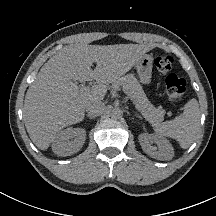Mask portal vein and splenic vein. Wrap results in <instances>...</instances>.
I'll use <instances>...</instances> for the list:
<instances>
[{"instance_id":"18ae733b","label":"portal vein and splenic vein","mask_w":216,"mask_h":216,"mask_svg":"<svg viewBox=\"0 0 216 216\" xmlns=\"http://www.w3.org/2000/svg\"><path fill=\"white\" fill-rule=\"evenodd\" d=\"M90 90V87L89 86H85V85H83L81 88H80V91H89ZM123 91H124V93H126L128 96H129V98L134 102V95H133V93L131 92V91H129L128 90V88L127 87H123ZM136 106V105H135ZM137 108V107H136Z\"/></svg>"}]
</instances>
